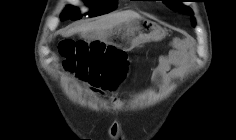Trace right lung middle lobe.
I'll return each mask as SVG.
<instances>
[{
	"instance_id": "right-lung-middle-lobe-1",
	"label": "right lung middle lobe",
	"mask_w": 236,
	"mask_h": 140,
	"mask_svg": "<svg viewBox=\"0 0 236 140\" xmlns=\"http://www.w3.org/2000/svg\"><path fill=\"white\" fill-rule=\"evenodd\" d=\"M91 5L92 10L90 16L95 17L113 11L116 8L117 0H86ZM81 15L77 8L68 6L61 14V19H80Z\"/></svg>"
}]
</instances>
